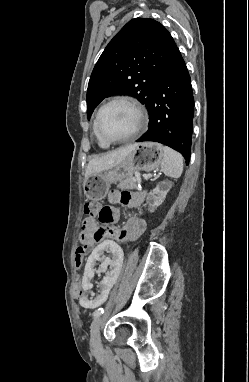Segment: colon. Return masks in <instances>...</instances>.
<instances>
[{
    "label": "colon",
    "mask_w": 249,
    "mask_h": 382,
    "mask_svg": "<svg viewBox=\"0 0 249 382\" xmlns=\"http://www.w3.org/2000/svg\"><path fill=\"white\" fill-rule=\"evenodd\" d=\"M105 207H102L100 205L99 202L97 201H89V202H86L85 205H84V213L87 214V215H90V216H96V217H102V216H110V213L109 212H104ZM83 254H84V251L82 249H78L77 250V253H76V257H75V262H76V265H75V270L76 271H81L82 270V266H83Z\"/></svg>",
    "instance_id": "colon-1"
}]
</instances>
